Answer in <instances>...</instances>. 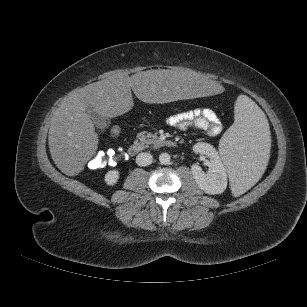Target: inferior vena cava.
Instances as JSON below:
<instances>
[{"instance_id":"obj_1","label":"inferior vena cava","mask_w":307,"mask_h":307,"mask_svg":"<svg viewBox=\"0 0 307 307\" xmlns=\"http://www.w3.org/2000/svg\"><path fill=\"white\" fill-rule=\"evenodd\" d=\"M152 161L153 156L148 152H142L136 156V163L142 167L150 165Z\"/></svg>"}]
</instances>
